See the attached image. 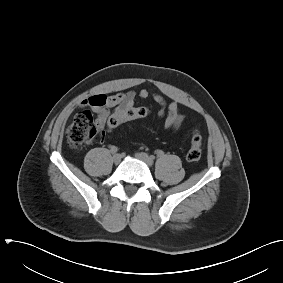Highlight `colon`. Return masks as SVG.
Listing matches in <instances>:
<instances>
[{
    "label": "colon",
    "instance_id": "obj_1",
    "mask_svg": "<svg viewBox=\"0 0 283 283\" xmlns=\"http://www.w3.org/2000/svg\"><path fill=\"white\" fill-rule=\"evenodd\" d=\"M150 114L147 107H131L121 112L112 114L107 122L106 129L114 130L127 120L143 118ZM98 128L96 120L89 111H81L75 115L73 121L66 129V140L71 148L79 149L90 144L96 137ZM202 157V136L198 131L191 136L190 148L187 152L189 161H198Z\"/></svg>",
    "mask_w": 283,
    "mask_h": 283
}]
</instances>
